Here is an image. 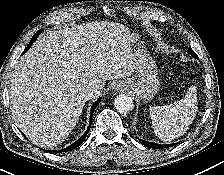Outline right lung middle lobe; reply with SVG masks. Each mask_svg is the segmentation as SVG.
<instances>
[{
    "mask_svg": "<svg viewBox=\"0 0 224 175\" xmlns=\"http://www.w3.org/2000/svg\"><path fill=\"white\" fill-rule=\"evenodd\" d=\"M40 32H41V30L37 33V35H39Z\"/></svg>",
    "mask_w": 224,
    "mask_h": 175,
    "instance_id": "1",
    "label": "right lung middle lobe"
}]
</instances>
